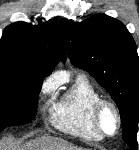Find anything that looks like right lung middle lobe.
I'll use <instances>...</instances> for the list:
<instances>
[{
  "label": "right lung middle lobe",
  "mask_w": 139,
  "mask_h": 150,
  "mask_svg": "<svg viewBox=\"0 0 139 150\" xmlns=\"http://www.w3.org/2000/svg\"><path fill=\"white\" fill-rule=\"evenodd\" d=\"M42 81L31 72L0 69V132L35 118Z\"/></svg>",
  "instance_id": "right-lung-middle-lobe-1"
}]
</instances>
